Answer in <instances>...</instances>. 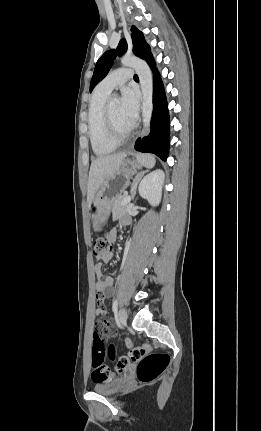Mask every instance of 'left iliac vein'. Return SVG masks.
Segmentation results:
<instances>
[{
  "label": "left iliac vein",
  "mask_w": 261,
  "mask_h": 431,
  "mask_svg": "<svg viewBox=\"0 0 261 431\" xmlns=\"http://www.w3.org/2000/svg\"><path fill=\"white\" fill-rule=\"evenodd\" d=\"M118 316H119L120 323L124 324L126 322L127 316H128L127 310L125 308L121 307L119 310Z\"/></svg>",
  "instance_id": "obj_1"
}]
</instances>
